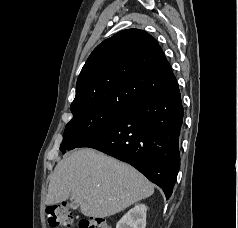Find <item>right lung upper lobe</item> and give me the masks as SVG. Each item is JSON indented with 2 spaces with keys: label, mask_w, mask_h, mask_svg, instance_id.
Masks as SVG:
<instances>
[{
  "label": "right lung upper lobe",
  "mask_w": 238,
  "mask_h": 228,
  "mask_svg": "<svg viewBox=\"0 0 238 228\" xmlns=\"http://www.w3.org/2000/svg\"><path fill=\"white\" fill-rule=\"evenodd\" d=\"M177 80L161 47L145 31L127 29L99 44L77 80L71 111L127 106L160 93Z\"/></svg>",
  "instance_id": "right-lung-upper-lobe-1"
}]
</instances>
